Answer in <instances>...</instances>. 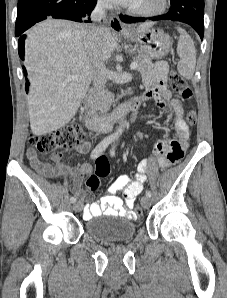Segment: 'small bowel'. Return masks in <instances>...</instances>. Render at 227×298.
<instances>
[{
  "mask_svg": "<svg viewBox=\"0 0 227 298\" xmlns=\"http://www.w3.org/2000/svg\"><path fill=\"white\" fill-rule=\"evenodd\" d=\"M168 65L164 61L155 64L152 72L145 79L146 91L141 96L142 101L153 99L160 109L170 108L174 114V139H159L155 143V154L161 167H178L188 147L190 135L189 127L184 121V109L179 99L174 98L172 93L166 89L165 81ZM79 153L85 154L90 149L88 142H83L76 147ZM27 157L31 166L39 173L47 177H57L63 174L73 179V191L80 201L90 197V193L82 189L83 176L92 172L90 164H83L79 168L67 166L60 162L61 153L52 154L51 160L54 164L44 163L33 148L27 150ZM148 160H142L138 165L134 179L128 175H120L107 189L105 195L99 200L85 206L83 218L89 220L101 215L121 216L135 219L132 211L136 197L142 192L148 170ZM122 193V197L117 194Z\"/></svg>",
  "mask_w": 227,
  "mask_h": 298,
  "instance_id": "obj_1",
  "label": "small bowel"
}]
</instances>
